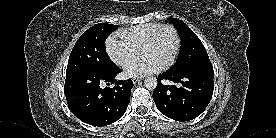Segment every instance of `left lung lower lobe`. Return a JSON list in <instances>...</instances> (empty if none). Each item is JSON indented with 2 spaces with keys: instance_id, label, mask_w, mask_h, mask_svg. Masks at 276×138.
I'll list each match as a JSON object with an SVG mask.
<instances>
[{
  "instance_id": "0a47b994",
  "label": "left lung lower lobe",
  "mask_w": 276,
  "mask_h": 138,
  "mask_svg": "<svg viewBox=\"0 0 276 138\" xmlns=\"http://www.w3.org/2000/svg\"><path fill=\"white\" fill-rule=\"evenodd\" d=\"M213 68L182 73L167 70L158 76L153 99L158 110L176 121H190L199 116L209 104L213 90ZM174 85H164L161 80Z\"/></svg>"
}]
</instances>
